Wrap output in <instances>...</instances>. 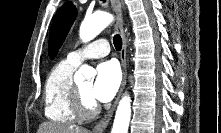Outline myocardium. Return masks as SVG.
I'll return each instance as SVG.
<instances>
[{"label": "myocardium", "mask_w": 221, "mask_h": 133, "mask_svg": "<svg viewBox=\"0 0 221 133\" xmlns=\"http://www.w3.org/2000/svg\"><path fill=\"white\" fill-rule=\"evenodd\" d=\"M71 102L75 114L80 119L92 118L98 112V108L94 100L86 99L81 89L76 84L72 90Z\"/></svg>", "instance_id": "f54148a6"}]
</instances>
